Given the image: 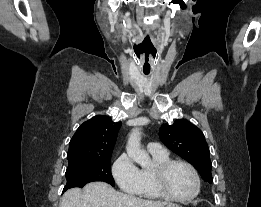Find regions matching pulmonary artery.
<instances>
[{
	"mask_svg": "<svg viewBox=\"0 0 261 207\" xmlns=\"http://www.w3.org/2000/svg\"><path fill=\"white\" fill-rule=\"evenodd\" d=\"M148 150L150 153L153 154H166L167 150L159 143L156 142H150L148 144Z\"/></svg>",
	"mask_w": 261,
	"mask_h": 207,
	"instance_id": "1",
	"label": "pulmonary artery"
}]
</instances>
